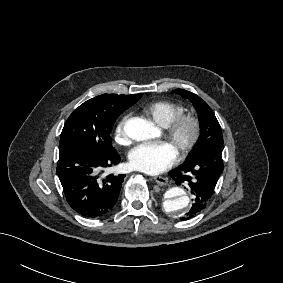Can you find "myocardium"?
Instances as JSON below:
<instances>
[{
    "mask_svg": "<svg viewBox=\"0 0 283 283\" xmlns=\"http://www.w3.org/2000/svg\"><path fill=\"white\" fill-rule=\"evenodd\" d=\"M185 128L189 129V135L179 146L181 159L188 156L199 142L201 136L200 119L193 114H182L166 127L167 137L172 141H178Z\"/></svg>",
    "mask_w": 283,
    "mask_h": 283,
    "instance_id": "1",
    "label": "myocardium"
}]
</instances>
